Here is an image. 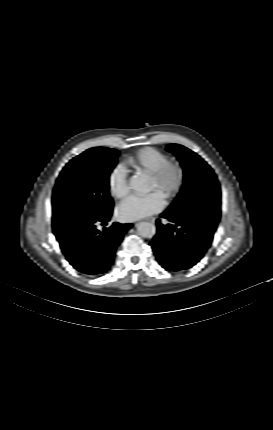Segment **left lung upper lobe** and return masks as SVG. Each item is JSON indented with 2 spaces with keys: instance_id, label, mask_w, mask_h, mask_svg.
Instances as JSON below:
<instances>
[{
  "instance_id": "5c2ea615",
  "label": "left lung upper lobe",
  "mask_w": 273,
  "mask_h": 430,
  "mask_svg": "<svg viewBox=\"0 0 273 430\" xmlns=\"http://www.w3.org/2000/svg\"><path fill=\"white\" fill-rule=\"evenodd\" d=\"M167 150L174 153L184 169L182 189L169 207L183 213L187 202L193 203L197 197L206 194L220 197V185L212 168L196 153L179 144H170Z\"/></svg>"
}]
</instances>
